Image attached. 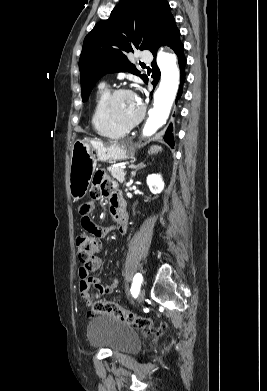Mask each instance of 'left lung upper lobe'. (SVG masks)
<instances>
[{"label": "left lung upper lobe", "mask_w": 267, "mask_h": 391, "mask_svg": "<svg viewBox=\"0 0 267 391\" xmlns=\"http://www.w3.org/2000/svg\"><path fill=\"white\" fill-rule=\"evenodd\" d=\"M166 0H122L110 18L98 22L85 37L79 59L83 102L105 74L130 72L147 77L127 58L135 49L152 50L175 26Z\"/></svg>", "instance_id": "obj_1"}]
</instances>
